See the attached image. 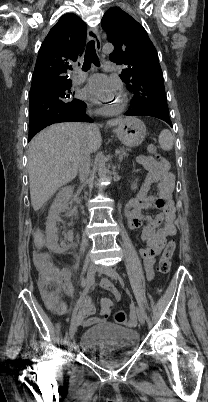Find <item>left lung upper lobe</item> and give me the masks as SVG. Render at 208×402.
<instances>
[{"instance_id":"1","label":"left lung upper lobe","mask_w":208,"mask_h":402,"mask_svg":"<svg viewBox=\"0 0 208 402\" xmlns=\"http://www.w3.org/2000/svg\"><path fill=\"white\" fill-rule=\"evenodd\" d=\"M101 25L115 47L110 60L125 65L120 78L134 95L130 107L169 116L158 54L146 30L118 7L106 11Z\"/></svg>"}]
</instances>
